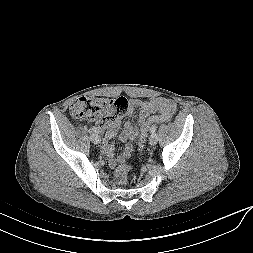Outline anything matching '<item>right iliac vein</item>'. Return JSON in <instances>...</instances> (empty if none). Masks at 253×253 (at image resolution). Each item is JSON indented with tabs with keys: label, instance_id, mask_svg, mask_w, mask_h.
<instances>
[{
	"label": "right iliac vein",
	"instance_id": "1",
	"mask_svg": "<svg viewBox=\"0 0 253 253\" xmlns=\"http://www.w3.org/2000/svg\"><path fill=\"white\" fill-rule=\"evenodd\" d=\"M90 139H91V141H92L94 144H99V143L101 142L100 136H99L98 134H96V133H92V134L90 135Z\"/></svg>",
	"mask_w": 253,
	"mask_h": 253
}]
</instances>
